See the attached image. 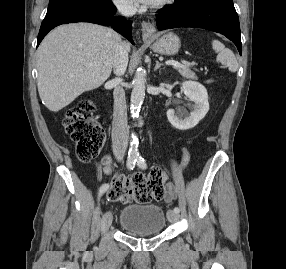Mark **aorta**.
Returning <instances> with one entry per match:
<instances>
[{"label":"aorta","instance_id":"obj_1","mask_svg":"<svg viewBox=\"0 0 286 269\" xmlns=\"http://www.w3.org/2000/svg\"><path fill=\"white\" fill-rule=\"evenodd\" d=\"M145 84H146V73L143 69L137 71L133 80V90L131 93L130 110L132 117L135 118L139 115L141 105L145 98ZM130 157L138 156V140L136 137H132L130 148Z\"/></svg>","mask_w":286,"mask_h":269}]
</instances>
